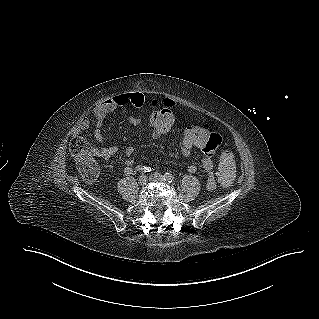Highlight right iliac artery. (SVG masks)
<instances>
[{"instance_id": "obj_1", "label": "right iliac artery", "mask_w": 319, "mask_h": 319, "mask_svg": "<svg viewBox=\"0 0 319 319\" xmlns=\"http://www.w3.org/2000/svg\"><path fill=\"white\" fill-rule=\"evenodd\" d=\"M136 170L139 171V172H144V173H147V172H151L152 169L150 167H145V166H137L136 167Z\"/></svg>"}]
</instances>
